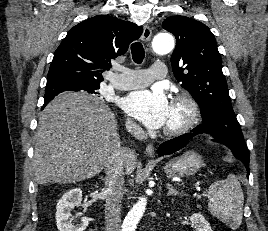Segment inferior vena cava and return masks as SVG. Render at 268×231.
<instances>
[{
	"instance_id": "1",
	"label": "inferior vena cava",
	"mask_w": 268,
	"mask_h": 231,
	"mask_svg": "<svg viewBox=\"0 0 268 231\" xmlns=\"http://www.w3.org/2000/svg\"><path fill=\"white\" fill-rule=\"evenodd\" d=\"M128 131L136 138L142 136V130L132 122L126 125ZM136 160L131 148H122L114 152L105 165V231H121V200L123 197L124 168L126 162Z\"/></svg>"
}]
</instances>
